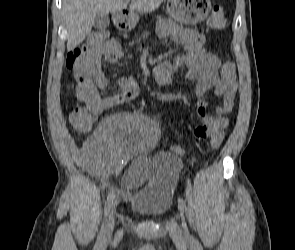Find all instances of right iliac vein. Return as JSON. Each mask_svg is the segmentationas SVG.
I'll use <instances>...</instances> for the list:
<instances>
[{
    "label": "right iliac vein",
    "instance_id": "1",
    "mask_svg": "<svg viewBox=\"0 0 295 250\" xmlns=\"http://www.w3.org/2000/svg\"><path fill=\"white\" fill-rule=\"evenodd\" d=\"M114 226H115V216H114V206H113L105 227L104 235L106 239L111 238L113 230H114Z\"/></svg>",
    "mask_w": 295,
    "mask_h": 250
}]
</instances>
